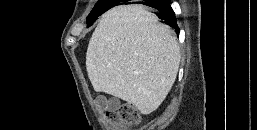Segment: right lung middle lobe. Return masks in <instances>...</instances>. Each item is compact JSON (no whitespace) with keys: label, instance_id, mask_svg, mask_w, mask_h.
<instances>
[{"label":"right lung middle lobe","instance_id":"dd1d6c3e","mask_svg":"<svg viewBox=\"0 0 257 130\" xmlns=\"http://www.w3.org/2000/svg\"><path fill=\"white\" fill-rule=\"evenodd\" d=\"M117 2L118 1L116 0H99L94 6L89 16L87 17V25L90 26L99 15H101L111 6L116 5Z\"/></svg>","mask_w":257,"mask_h":130}]
</instances>
